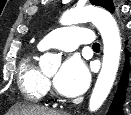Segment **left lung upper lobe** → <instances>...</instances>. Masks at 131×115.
<instances>
[{
  "instance_id": "5c2ea615",
  "label": "left lung upper lobe",
  "mask_w": 131,
  "mask_h": 115,
  "mask_svg": "<svg viewBox=\"0 0 131 115\" xmlns=\"http://www.w3.org/2000/svg\"><path fill=\"white\" fill-rule=\"evenodd\" d=\"M90 2L92 5L104 7L105 9L110 11L111 13H113V11H114V6L112 3V0H90Z\"/></svg>"
}]
</instances>
